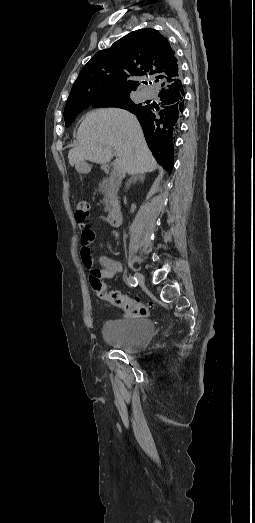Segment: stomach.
<instances>
[{
  "instance_id": "1",
  "label": "stomach",
  "mask_w": 255,
  "mask_h": 523,
  "mask_svg": "<svg viewBox=\"0 0 255 523\" xmlns=\"http://www.w3.org/2000/svg\"><path fill=\"white\" fill-rule=\"evenodd\" d=\"M82 172H83L84 174H87V173L89 172V169H88L87 167H84V168L82 169Z\"/></svg>"
}]
</instances>
